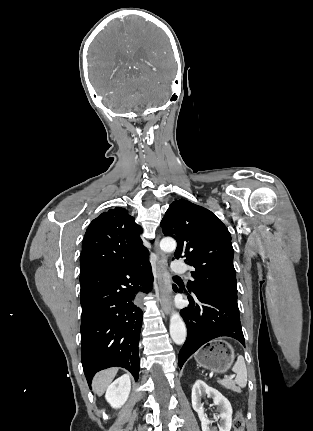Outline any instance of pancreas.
<instances>
[{"instance_id": "cf45deb5", "label": "pancreas", "mask_w": 313, "mask_h": 431, "mask_svg": "<svg viewBox=\"0 0 313 431\" xmlns=\"http://www.w3.org/2000/svg\"><path fill=\"white\" fill-rule=\"evenodd\" d=\"M224 386L227 388V389H231V390H233V391H236V392H239V389L235 386V384L234 383H232V382H226V383H224Z\"/></svg>"}]
</instances>
